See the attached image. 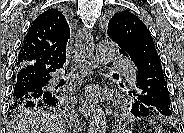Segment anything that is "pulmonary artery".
Returning <instances> with one entry per match:
<instances>
[{
    "label": "pulmonary artery",
    "mask_w": 184,
    "mask_h": 133,
    "mask_svg": "<svg viewBox=\"0 0 184 133\" xmlns=\"http://www.w3.org/2000/svg\"><path fill=\"white\" fill-rule=\"evenodd\" d=\"M111 68L115 70H126L127 78L131 83L135 81L136 74L135 70L132 68V63L123 57H115L111 61Z\"/></svg>",
    "instance_id": "obj_1"
}]
</instances>
